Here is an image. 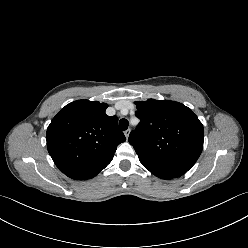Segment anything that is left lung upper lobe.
<instances>
[{
  "label": "left lung upper lobe",
  "instance_id": "1",
  "mask_svg": "<svg viewBox=\"0 0 248 248\" xmlns=\"http://www.w3.org/2000/svg\"><path fill=\"white\" fill-rule=\"evenodd\" d=\"M140 123L129 136L143 166L157 177L185 174L203 149V125L185 105L169 100L135 102Z\"/></svg>",
  "mask_w": 248,
  "mask_h": 248
}]
</instances>
